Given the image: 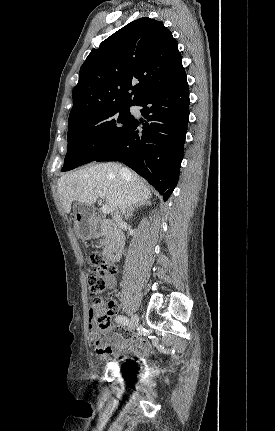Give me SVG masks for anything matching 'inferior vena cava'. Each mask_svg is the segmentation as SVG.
<instances>
[{"label": "inferior vena cava", "mask_w": 275, "mask_h": 431, "mask_svg": "<svg viewBox=\"0 0 275 431\" xmlns=\"http://www.w3.org/2000/svg\"><path fill=\"white\" fill-rule=\"evenodd\" d=\"M114 219H115V221H116V223H117L118 225H122L123 221H122V218H121V214H120V213H116V214L114 215Z\"/></svg>", "instance_id": "602c4592"}]
</instances>
